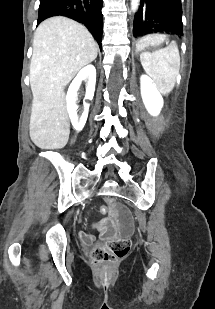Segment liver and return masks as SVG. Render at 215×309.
Instances as JSON below:
<instances>
[{"mask_svg":"<svg viewBox=\"0 0 215 309\" xmlns=\"http://www.w3.org/2000/svg\"><path fill=\"white\" fill-rule=\"evenodd\" d=\"M98 44L86 26L51 16L35 30L29 80L33 94L29 134L39 148H63L70 122L64 88L97 56Z\"/></svg>","mask_w":215,"mask_h":309,"instance_id":"obj_1","label":"liver"}]
</instances>
